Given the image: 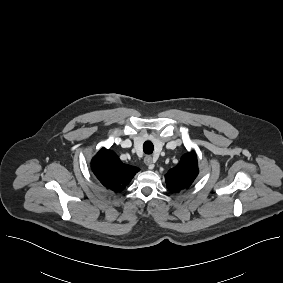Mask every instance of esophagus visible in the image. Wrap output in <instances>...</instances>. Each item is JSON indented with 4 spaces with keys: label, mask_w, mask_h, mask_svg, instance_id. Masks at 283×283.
Here are the masks:
<instances>
[{
    "label": "esophagus",
    "mask_w": 283,
    "mask_h": 283,
    "mask_svg": "<svg viewBox=\"0 0 283 283\" xmlns=\"http://www.w3.org/2000/svg\"><path fill=\"white\" fill-rule=\"evenodd\" d=\"M144 163L149 167V169H153V167H154V161H153L152 156L147 155V156L144 158Z\"/></svg>",
    "instance_id": "1"
}]
</instances>
